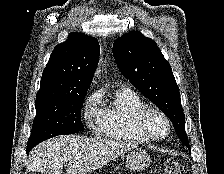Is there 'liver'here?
Masks as SVG:
<instances>
[{"label": "liver", "mask_w": 224, "mask_h": 174, "mask_svg": "<svg viewBox=\"0 0 224 174\" xmlns=\"http://www.w3.org/2000/svg\"><path fill=\"white\" fill-rule=\"evenodd\" d=\"M135 148V144L115 140L60 136L31 150L27 171L62 174L63 164L69 162L66 169L68 174H86Z\"/></svg>", "instance_id": "1"}]
</instances>
